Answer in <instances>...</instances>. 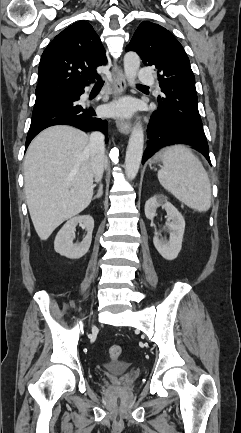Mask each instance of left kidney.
Instances as JSON below:
<instances>
[{
    "instance_id": "left-kidney-1",
    "label": "left kidney",
    "mask_w": 241,
    "mask_h": 433,
    "mask_svg": "<svg viewBox=\"0 0 241 433\" xmlns=\"http://www.w3.org/2000/svg\"><path fill=\"white\" fill-rule=\"evenodd\" d=\"M162 207L166 210L169 223L167 230L170 232L168 241L159 237L160 233L156 232L153 237V243L159 254L166 260H174L177 258L181 248L183 234L185 230V220L181 213L167 201V198L160 194L151 197L145 204V215L149 220H153L156 216L157 208Z\"/></svg>"
}]
</instances>
